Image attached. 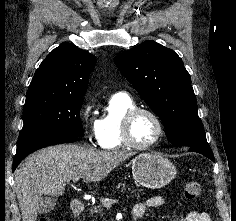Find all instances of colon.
Here are the masks:
<instances>
[{
	"label": "colon",
	"mask_w": 236,
	"mask_h": 221,
	"mask_svg": "<svg viewBox=\"0 0 236 221\" xmlns=\"http://www.w3.org/2000/svg\"><path fill=\"white\" fill-rule=\"evenodd\" d=\"M184 194L187 199L197 198L201 194V185L197 181H189L185 185ZM39 221H52L49 218H41Z\"/></svg>",
	"instance_id": "colon-1"
}]
</instances>
